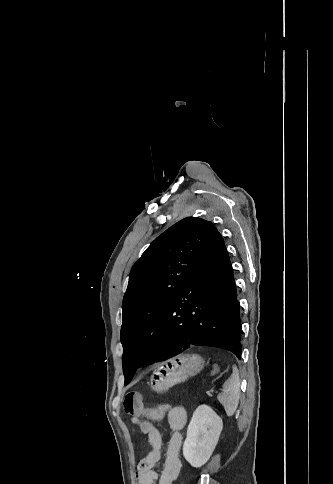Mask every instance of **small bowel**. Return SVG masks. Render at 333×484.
Wrapping results in <instances>:
<instances>
[{
    "mask_svg": "<svg viewBox=\"0 0 333 484\" xmlns=\"http://www.w3.org/2000/svg\"><path fill=\"white\" fill-rule=\"evenodd\" d=\"M123 408L147 436L151 446V451L137 466L138 484H173L181 470L180 450L183 442L181 430L187 422L186 410L181 406H174L165 414L171 434L167 442L163 468L161 472H158L161 461L162 435L150 421L144 420V418H150L147 414L148 407L145 406L142 396L138 392L128 393L124 398Z\"/></svg>",
    "mask_w": 333,
    "mask_h": 484,
    "instance_id": "small-bowel-1",
    "label": "small bowel"
}]
</instances>
